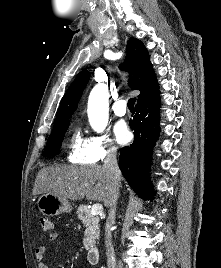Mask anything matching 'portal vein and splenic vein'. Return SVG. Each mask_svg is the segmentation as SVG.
I'll return each instance as SVG.
<instances>
[{"mask_svg": "<svg viewBox=\"0 0 221 268\" xmlns=\"http://www.w3.org/2000/svg\"><path fill=\"white\" fill-rule=\"evenodd\" d=\"M102 210H103L102 204L96 203L90 209V215H92V216L98 215L99 213L102 212Z\"/></svg>", "mask_w": 221, "mask_h": 268, "instance_id": "18ae733b", "label": "portal vein and splenic vein"}]
</instances>
